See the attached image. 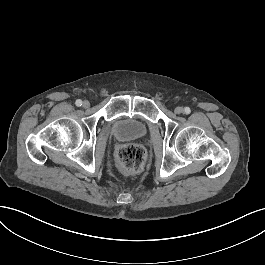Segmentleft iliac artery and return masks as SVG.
Listing matches in <instances>:
<instances>
[{
    "label": "left iliac artery",
    "mask_w": 265,
    "mask_h": 265,
    "mask_svg": "<svg viewBox=\"0 0 265 265\" xmlns=\"http://www.w3.org/2000/svg\"><path fill=\"white\" fill-rule=\"evenodd\" d=\"M184 112H185L186 114H189V113L191 112V110H190L189 107H185Z\"/></svg>",
    "instance_id": "44dca946"
}]
</instances>
